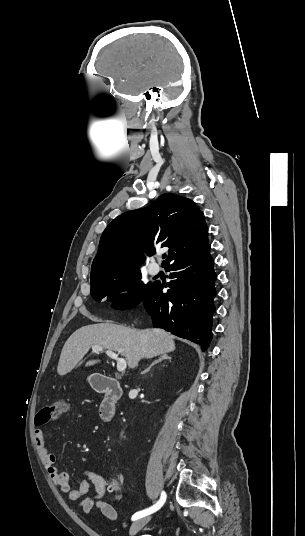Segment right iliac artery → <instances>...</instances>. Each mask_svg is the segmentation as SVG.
<instances>
[{
  "instance_id": "1",
  "label": "right iliac artery",
  "mask_w": 305,
  "mask_h": 536,
  "mask_svg": "<svg viewBox=\"0 0 305 536\" xmlns=\"http://www.w3.org/2000/svg\"><path fill=\"white\" fill-rule=\"evenodd\" d=\"M166 500V494L165 492L163 491L161 493V497H160V500L153 506H151L150 508H147L145 510H142V511H139V512H136L133 516H132V520H137L139 518H142V517H145L147 515H150L154 512H156L157 510H159L162 505L164 504Z\"/></svg>"
}]
</instances>
